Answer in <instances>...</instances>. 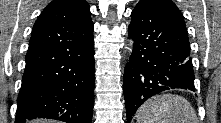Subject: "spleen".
I'll list each match as a JSON object with an SVG mask.
<instances>
[{"mask_svg": "<svg viewBox=\"0 0 221 123\" xmlns=\"http://www.w3.org/2000/svg\"><path fill=\"white\" fill-rule=\"evenodd\" d=\"M137 123H197L192 105L183 97L164 94L146 101L136 113Z\"/></svg>", "mask_w": 221, "mask_h": 123, "instance_id": "3e777b00", "label": "spleen"}]
</instances>
